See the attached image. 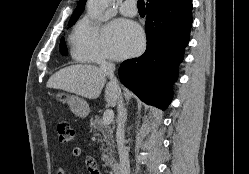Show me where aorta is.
<instances>
[{
    "label": "aorta",
    "instance_id": "aorta-1",
    "mask_svg": "<svg viewBox=\"0 0 249 174\" xmlns=\"http://www.w3.org/2000/svg\"><path fill=\"white\" fill-rule=\"evenodd\" d=\"M109 0H88L87 14L92 20H96L108 6Z\"/></svg>",
    "mask_w": 249,
    "mask_h": 174
}]
</instances>
